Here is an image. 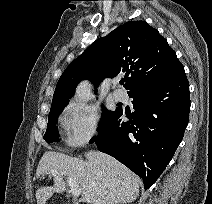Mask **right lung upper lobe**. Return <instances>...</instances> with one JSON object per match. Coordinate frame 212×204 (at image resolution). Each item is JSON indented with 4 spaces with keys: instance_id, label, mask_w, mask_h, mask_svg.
I'll use <instances>...</instances> for the list:
<instances>
[{
    "instance_id": "cb5924a9",
    "label": "right lung upper lobe",
    "mask_w": 212,
    "mask_h": 204,
    "mask_svg": "<svg viewBox=\"0 0 212 204\" xmlns=\"http://www.w3.org/2000/svg\"><path fill=\"white\" fill-rule=\"evenodd\" d=\"M183 70L158 30L145 21H128L93 42L61 75L52 107L67 105L82 79L94 83L126 73L129 92L172 78ZM128 92V93H129Z\"/></svg>"
}]
</instances>
